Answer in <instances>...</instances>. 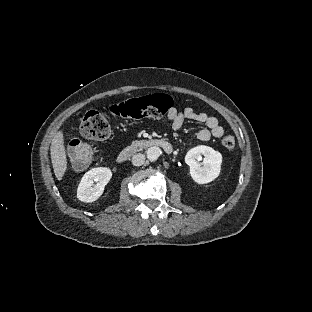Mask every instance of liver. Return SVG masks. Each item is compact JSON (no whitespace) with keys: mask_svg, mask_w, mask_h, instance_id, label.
Segmentation results:
<instances>
[{"mask_svg":"<svg viewBox=\"0 0 312 312\" xmlns=\"http://www.w3.org/2000/svg\"><path fill=\"white\" fill-rule=\"evenodd\" d=\"M50 151L55 176L58 180H61L67 169L63 133L61 131L57 132L53 137Z\"/></svg>","mask_w":312,"mask_h":312,"instance_id":"1","label":"liver"}]
</instances>
